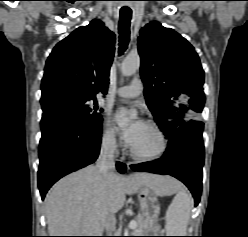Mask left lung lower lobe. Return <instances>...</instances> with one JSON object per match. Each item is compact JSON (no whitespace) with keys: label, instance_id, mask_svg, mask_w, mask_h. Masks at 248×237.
I'll return each mask as SVG.
<instances>
[{"label":"left lung lower lobe","instance_id":"1","mask_svg":"<svg viewBox=\"0 0 248 237\" xmlns=\"http://www.w3.org/2000/svg\"><path fill=\"white\" fill-rule=\"evenodd\" d=\"M203 123L191 120L180 125L169 138L162 158L132 165L135 171L171 175L182 181L192 192L198 205L202 190L204 164Z\"/></svg>","mask_w":248,"mask_h":237}]
</instances>
